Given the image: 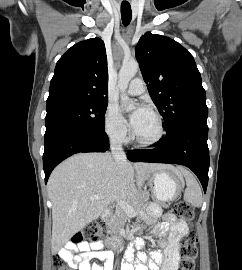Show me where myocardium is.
I'll return each mask as SVG.
<instances>
[{"mask_svg": "<svg viewBox=\"0 0 242 270\" xmlns=\"http://www.w3.org/2000/svg\"><path fill=\"white\" fill-rule=\"evenodd\" d=\"M150 113L155 117V119L157 121L158 133H157L156 137H154L151 140H141L135 136V133L133 131L132 132V140L136 146L141 147V148L154 147V146L158 145L159 143H161V141L165 137L166 130H165V125H164V121L162 119V116L157 111H154V110H151Z\"/></svg>", "mask_w": 242, "mask_h": 270, "instance_id": "obj_1", "label": "myocardium"}]
</instances>
